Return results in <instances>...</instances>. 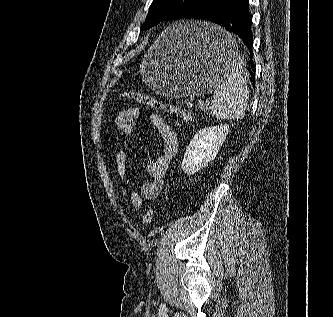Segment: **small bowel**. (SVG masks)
Here are the masks:
<instances>
[{
	"label": "small bowel",
	"instance_id": "obj_1",
	"mask_svg": "<svg viewBox=\"0 0 333 317\" xmlns=\"http://www.w3.org/2000/svg\"><path fill=\"white\" fill-rule=\"evenodd\" d=\"M139 117L140 110L136 107H130L120 111L116 115L114 124L126 136H131ZM150 121L161 136L162 147L160 153L152 158L147 165L146 169L151 179L144 183L139 191L133 189L128 180L127 155L125 151L118 149L114 156L119 176L118 190L124 205L131 210H140L145 200L152 201L160 196L165 184V174L168 165L178 149V135L174 128L158 114H150Z\"/></svg>",
	"mask_w": 333,
	"mask_h": 317
}]
</instances>
